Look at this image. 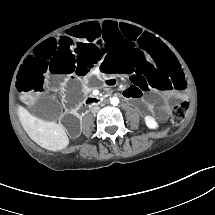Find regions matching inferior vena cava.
I'll return each instance as SVG.
<instances>
[{
	"mask_svg": "<svg viewBox=\"0 0 215 215\" xmlns=\"http://www.w3.org/2000/svg\"><path fill=\"white\" fill-rule=\"evenodd\" d=\"M99 109H100L99 106H94V107L91 108V113L95 114V113L98 112Z\"/></svg>",
	"mask_w": 215,
	"mask_h": 215,
	"instance_id": "obj_1",
	"label": "inferior vena cava"
}]
</instances>
